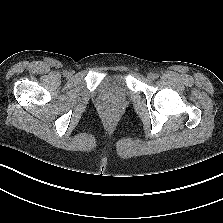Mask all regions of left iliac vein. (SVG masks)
Wrapping results in <instances>:
<instances>
[{
	"label": "left iliac vein",
	"instance_id": "obj_1",
	"mask_svg": "<svg viewBox=\"0 0 223 223\" xmlns=\"http://www.w3.org/2000/svg\"><path fill=\"white\" fill-rule=\"evenodd\" d=\"M147 79L150 80V81L154 80V79H155V74H153V73H148V74H147Z\"/></svg>",
	"mask_w": 223,
	"mask_h": 223
}]
</instances>
